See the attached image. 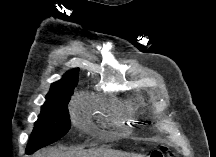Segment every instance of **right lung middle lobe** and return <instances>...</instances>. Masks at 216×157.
<instances>
[{"label": "right lung middle lobe", "mask_w": 216, "mask_h": 157, "mask_svg": "<svg viewBox=\"0 0 216 157\" xmlns=\"http://www.w3.org/2000/svg\"><path fill=\"white\" fill-rule=\"evenodd\" d=\"M73 91L60 93L46 100L26 148V154L49 145L63 137L70 129L68 103Z\"/></svg>", "instance_id": "dd1d6c3e"}]
</instances>
